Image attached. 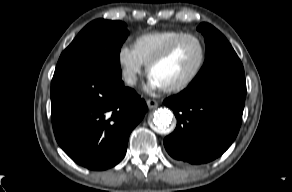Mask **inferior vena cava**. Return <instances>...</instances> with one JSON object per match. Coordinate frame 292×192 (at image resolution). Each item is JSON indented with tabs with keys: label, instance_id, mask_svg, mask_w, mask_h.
<instances>
[{
	"label": "inferior vena cava",
	"instance_id": "602c4592",
	"mask_svg": "<svg viewBox=\"0 0 292 192\" xmlns=\"http://www.w3.org/2000/svg\"><path fill=\"white\" fill-rule=\"evenodd\" d=\"M125 81L129 85H135L137 81V77L135 75H129L125 78Z\"/></svg>",
	"mask_w": 292,
	"mask_h": 192
}]
</instances>
